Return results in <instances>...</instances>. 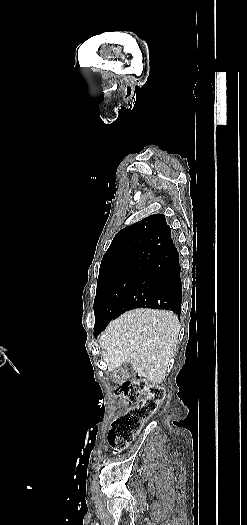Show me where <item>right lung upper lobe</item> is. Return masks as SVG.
I'll return each mask as SVG.
<instances>
[{
	"label": "right lung upper lobe",
	"instance_id": "cb5924a9",
	"mask_svg": "<svg viewBox=\"0 0 247 525\" xmlns=\"http://www.w3.org/2000/svg\"><path fill=\"white\" fill-rule=\"evenodd\" d=\"M173 242L162 214L150 215L119 231L104 254L99 272L122 270L154 256Z\"/></svg>",
	"mask_w": 247,
	"mask_h": 525
}]
</instances>
